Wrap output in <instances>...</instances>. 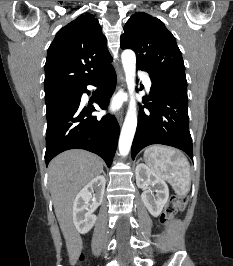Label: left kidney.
<instances>
[{"instance_id": "obj_1", "label": "left kidney", "mask_w": 233, "mask_h": 266, "mask_svg": "<svg viewBox=\"0 0 233 266\" xmlns=\"http://www.w3.org/2000/svg\"><path fill=\"white\" fill-rule=\"evenodd\" d=\"M135 175L137 186L145 189L141 194L142 202L152 216H159L169 198L168 185L143 163L137 165ZM149 186L156 188V196H153Z\"/></svg>"}]
</instances>
